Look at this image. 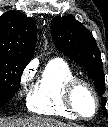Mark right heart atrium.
I'll return each mask as SVG.
<instances>
[{
    "mask_svg": "<svg viewBox=\"0 0 108 127\" xmlns=\"http://www.w3.org/2000/svg\"><path fill=\"white\" fill-rule=\"evenodd\" d=\"M34 75V68L33 65H28L23 72L21 73L19 83L22 91L26 89V87L30 84Z\"/></svg>",
    "mask_w": 108,
    "mask_h": 127,
    "instance_id": "obj_1",
    "label": "right heart atrium"
}]
</instances>
